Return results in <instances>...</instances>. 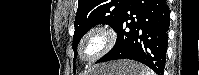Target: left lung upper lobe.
Wrapping results in <instances>:
<instances>
[{
  "label": "left lung upper lobe",
  "mask_w": 199,
  "mask_h": 75,
  "mask_svg": "<svg viewBox=\"0 0 199 75\" xmlns=\"http://www.w3.org/2000/svg\"><path fill=\"white\" fill-rule=\"evenodd\" d=\"M128 1L129 0H79L74 22V61L77 57L78 42L83 35L97 24H108L116 30Z\"/></svg>",
  "instance_id": "left-lung-upper-lobe-1"
}]
</instances>
